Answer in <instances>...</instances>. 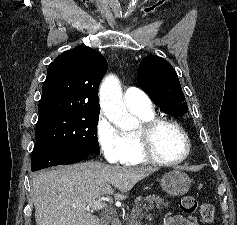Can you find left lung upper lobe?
<instances>
[{
	"label": "left lung upper lobe",
	"mask_w": 237,
	"mask_h": 225,
	"mask_svg": "<svg viewBox=\"0 0 237 225\" xmlns=\"http://www.w3.org/2000/svg\"><path fill=\"white\" fill-rule=\"evenodd\" d=\"M137 77L139 87L166 112L176 117L188 112L176 71L164 58L146 56L138 67Z\"/></svg>",
	"instance_id": "5c2ea615"
}]
</instances>
